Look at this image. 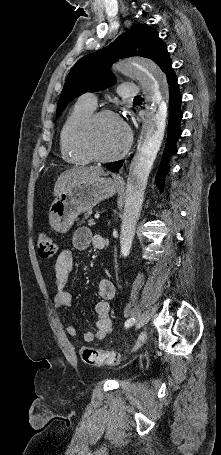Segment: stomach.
I'll return each instance as SVG.
<instances>
[{
  "label": "stomach",
  "instance_id": "0dacf381",
  "mask_svg": "<svg viewBox=\"0 0 221 455\" xmlns=\"http://www.w3.org/2000/svg\"><path fill=\"white\" fill-rule=\"evenodd\" d=\"M116 190L117 184L112 178L101 176L67 187L50 206V226L59 233H66L79 214L113 196Z\"/></svg>",
  "mask_w": 221,
  "mask_h": 455
}]
</instances>
